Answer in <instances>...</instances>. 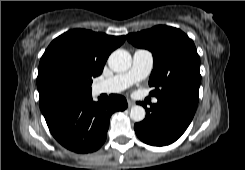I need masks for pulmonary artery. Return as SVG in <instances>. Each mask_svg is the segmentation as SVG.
Masks as SVG:
<instances>
[{"instance_id":"e3ab8cb5","label":"pulmonary artery","mask_w":245,"mask_h":170,"mask_svg":"<svg viewBox=\"0 0 245 170\" xmlns=\"http://www.w3.org/2000/svg\"><path fill=\"white\" fill-rule=\"evenodd\" d=\"M153 65V55L149 50L137 49L133 53V62L131 68L124 73H120L99 82L95 87L97 94L101 93H119L124 91L132 84L145 79ZM157 99H153V103H157Z\"/></svg>"}]
</instances>
